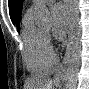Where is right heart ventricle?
I'll return each instance as SVG.
<instances>
[{"label":"right heart ventricle","mask_w":89,"mask_h":89,"mask_svg":"<svg viewBox=\"0 0 89 89\" xmlns=\"http://www.w3.org/2000/svg\"><path fill=\"white\" fill-rule=\"evenodd\" d=\"M22 36L24 42V62L31 74L51 73L57 63L54 54L47 48L44 32L33 22V15L27 12L23 17Z\"/></svg>","instance_id":"obj_1"}]
</instances>
